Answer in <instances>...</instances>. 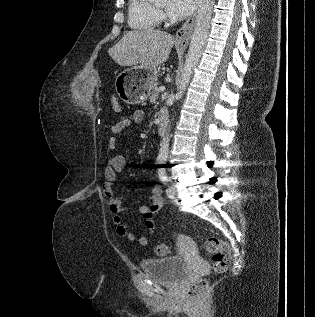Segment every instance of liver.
Segmentation results:
<instances>
[{
  "label": "liver",
  "mask_w": 315,
  "mask_h": 317,
  "mask_svg": "<svg viewBox=\"0 0 315 317\" xmlns=\"http://www.w3.org/2000/svg\"><path fill=\"white\" fill-rule=\"evenodd\" d=\"M174 43V38L164 31L133 30L127 32L108 53L120 66L157 69L167 61ZM177 53H180L179 49Z\"/></svg>",
  "instance_id": "1"
}]
</instances>
